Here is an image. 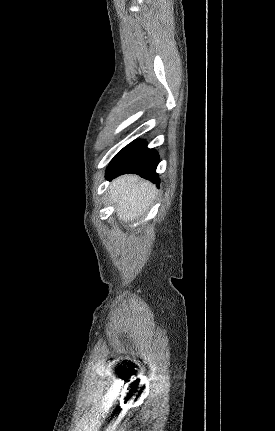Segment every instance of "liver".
Here are the masks:
<instances>
[{
  "instance_id": "obj_1",
  "label": "liver",
  "mask_w": 275,
  "mask_h": 431,
  "mask_svg": "<svg viewBox=\"0 0 275 431\" xmlns=\"http://www.w3.org/2000/svg\"><path fill=\"white\" fill-rule=\"evenodd\" d=\"M109 189L110 201L116 206L117 216L124 222L143 216L156 194V187L152 183L136 175L116 178Z\"/></svg>"
}]
</instances>
